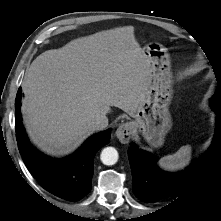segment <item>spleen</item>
Returning a JSON list of instances; mask_svg holds the SVG:
<instances>
[{
    "instance_id": "spleen-1",
    "label": "spleen",
    "mask_w": 221,
    "mask_h": 221,
    "mask_svg": "<svg viewBox=\"0 0 221 221\" xmlns=\"http://www.w3.org/2000/svg\"><path fill=\"white\" fill-rule=\"evenodd\" d=\"M191 159V146H182L176 153L159 160V166L165 170H179L187 166Z\"/></svg>"
}]
</instances>
